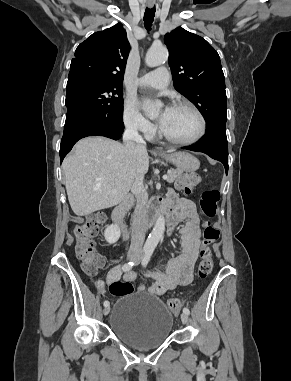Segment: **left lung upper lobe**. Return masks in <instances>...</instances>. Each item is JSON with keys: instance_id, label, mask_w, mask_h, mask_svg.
<instances>
[{"instance_id": "1", "label": "left lung upper lobe", "mask_w": 291, "mask_h": 381, "mask_svg": "<svg viewBox=\"0 0 291 381\" xmlns=\"http://www.w3.org/2000/svg\"><path fill=\"white\" fill-rule=\"evenodd\" d=\"M175 89L198 108L206 133L226 131L227 108L220 57L202 37L179 27L164 37Z\"/></svg>"}]
</instances>
